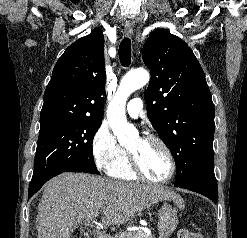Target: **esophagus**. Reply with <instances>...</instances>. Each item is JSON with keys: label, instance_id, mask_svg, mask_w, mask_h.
Segmentation results:
<instances>
[{"label": "esophagus", "instance_id": "obj_1", "mask_svg": "<svg viewBox=\"0 0 247 238\" xmlns=\"http://www.w3.org/2000/svg\"><path fill=\"white\" fill-rule=\"evenodd\" d=\"M133 29H134V23L130 20L125 22V30L127 32L128 35H131L133 33Z\"/></svg>", "mask_w": 247, "mask_h": 238}]
</instances>
